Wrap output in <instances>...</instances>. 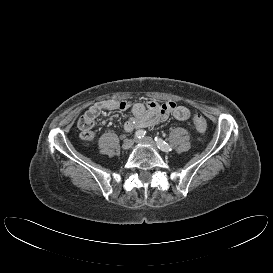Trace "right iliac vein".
Segmentation results:
<instances>
[{"label":"right iliac vein","instance_id":"right-iliac-vein-1","mask_svg":"<svg viewBox=\"0 0 273 273\" xmlns=\"http://www.w3.org/2000/svg\"><path fill=\"white\" fill-rule=\"evenodd\" d=\"M133 144H134V140L133 139H127L122 144V149L123 150H129L133 146Z\"/></svg>","mask_w":273,"mask_h":273}]
</instances>
